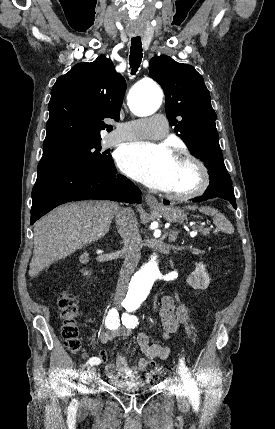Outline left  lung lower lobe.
<instances>
[{"label": "left lung lower lobe", "mask_w": 275, "mask_h": 429, "mask_svg": "<svg viewBox=\"0 0 275 429\" xmlns=\"http://www.w3.org/2000/svg\"><path fill=\"white\" fill-rule=\"evenodd\" d=\"M211 198H222L228 200L232 206L236 209L235 195L232 184L227 182H215L210 183L208 189L205 193L199 197L194 199V202L204 201ZM163 203L165 205L169 204V201L164 200Z\"/></svg>", "instance_id": "0a47b994"}]
</instances>
